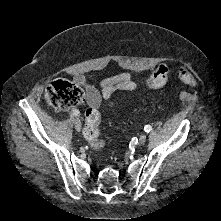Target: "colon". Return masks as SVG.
<instances>
[{
  "label": "colon",
  "instance_id": "5ec220e1",
  "mask_svg": "<svg viewBox=\"0 0 221 221\" xmlns=\"http://www.w3.org/2000/svg\"><path fill=\"white\" fill-rule=\"evenodd\" d=\"M180 78L187 84H194L195 77L187 66L179 67ZM169 69L165 64L159 65L147 78L145 84L150 89H161L167 82ZM46 101L54 108L67 109L83 101L84 93L80 87L67 80L59 79L49 84L45 90ZM101 115L96 107H89L85 112L84 136L93 149L104 145L99 138Z\"/></svg>",
  "mask_w": 221,
  "mask_h": 221
}]
</instances>
